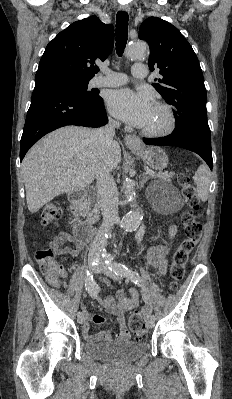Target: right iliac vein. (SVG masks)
<instances>
[{
    "instance_id": "obj_1",
    "label": "right iliac vein",
    "mask_w": 232,
    "mask_h": 399,
    "mask_svg": "<svg viewBox=\"0 0 232 399\" xmlns=\"http://www.w3.org/2000/svg\"><path fill=\"white\" fill-rule=\"evenodd\" d=\"M91 262H92V261H91ZM91 262H90V265H91ZM90 269H91V272H92V273H97L98 266H97V265H91V266H90ZM76 320H77L78 324H79V323H82V324H83V322H84V316H83V315L77 316V317H76Z\"/></svg>"
}]
</instances>
